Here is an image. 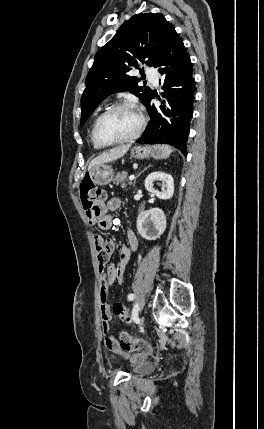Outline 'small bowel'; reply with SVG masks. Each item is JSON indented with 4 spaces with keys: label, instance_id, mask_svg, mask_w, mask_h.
I'll return each instance as SVG.
<instances>
[{
    "label": "small bowel",
    "instance_id": "obj_1",
    "mask_svg": "<svg viewBox=\"0 0 264 429\" xmlns=\"http://www.w3.org/2000/svg\"><path fill=\"white\" fill-rule=\"evenodd\" d=\"M121 204L122 201L120 198L114 197L109 199L107 203L101 204L94 214L86 213L88 222L92 225L97 224L102 229H110L115 224L116 219H114L109 212L118 210ZM126 239L127 242L121 246L119 251V261L105 267L109 257L115 250V242L112 239H103L100 235H95L93 237L98 257L99 272L102 276L100 283V301L102 330L106 335L104 343L110 352L116 354H122L125 350L121 347L120 340L109 334L112 313L108 303V287L114 282L119 284L123 282L125 268L132 253L137 250L139 246V239L133 229H127ZM137 352L136 355L132 356L133 362H138L143 357L148 356L152 352V347L146 343L145 349L137 350Z\"/></svg>",
    "mask_w": 264,
    "mask_h": 429
}]
</instances>
